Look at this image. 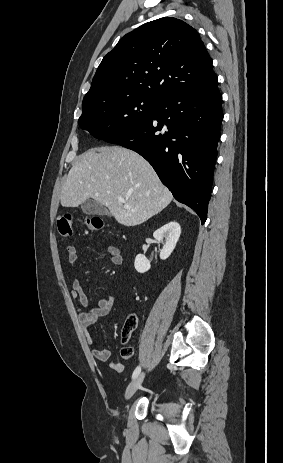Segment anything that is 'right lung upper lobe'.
Listing matches in <instances>:
<instances>
[{
	"instance_id": "right-lung-upper-lobe-1",
	"label": "right lung upper lobe",
	"mask_w": 283,
	"mask_h": 463,
	"mask_svg": "<svg viewBox=\"0 0 283 463\" xmlns=\"http://www.w3.org/2000/svg\"><path fill=\"white\" fill-rule=\"evenodd\" d=\"M217 79L198 32L164 17L126 34L99 65L83 105L111 95H141L157 101Z\"/></svg>"
}]
</instances>
